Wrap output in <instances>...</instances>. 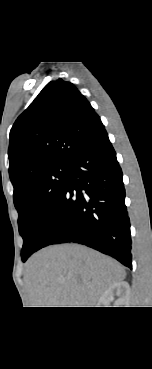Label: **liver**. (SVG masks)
Here are the masks:
<instances>
[{
	"instance_id": "1",
	"label": "liver",
	"mask_w": 152,
	"mask_h": 369,
	"mask_svg": "<svg viewBox=\"0 0 152 369\" xmlns=\"http://www.w3.org/2000/svg\"><path fill=\"white\" fill-rule=\"evenodd\" d=\"M125 277L124 268L112 258L64 244L34 254L24 279L31 307H94L110 286Z\"/></svg>"
}]
</instances>
